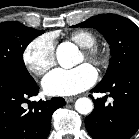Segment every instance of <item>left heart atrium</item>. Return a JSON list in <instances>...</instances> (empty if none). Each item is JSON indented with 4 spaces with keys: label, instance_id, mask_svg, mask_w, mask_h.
Here are the masks:
<instances>
[{
    "label": "left heart atrium",
    "instance_id": "obj_1",
    "mask_svg": "<svg viewBox=\"0 0 139 139\" xmlns=\"http://www.w3.org/2000/svg\"><path fill=\"white\" fill-rule=\"evenodd\" d=\"M97 80V72L88 63L73 69L57 68L48 73L42 82L44 91L54 96H70L91 87Z\"/></svg>",
    "mask_w": 139,
    "mask_h": 139
}]
</instances>
